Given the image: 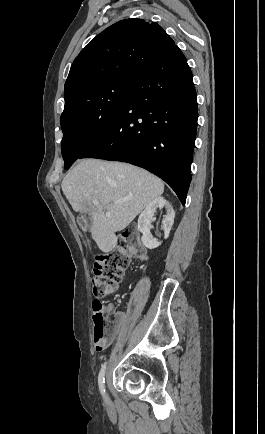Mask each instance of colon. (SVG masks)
I'll return each mask as SVG.
<instances>
[{
	"instance_id": "colon-1",
	"label": "colon",
	"mask_w": 265,
	"mask_h": 434,
	"mask_svg": "<svg viewBox=\"0 0 265 434\" xmlns=\"http://www.w3.org/2000/svg\"><path fill=\"white\" fill-rule=\"evenodd\" d=\"M124 248L123 245H120ZM128 264V257L123 251L102 255L93 263L94 275L92 278L93 295V324L95 331L92 335L95 347H106L108 335L105 332L108 321L106 314H102V301L100 299L114 293L121 282Z\"/></svg>"
}]
</instances>
